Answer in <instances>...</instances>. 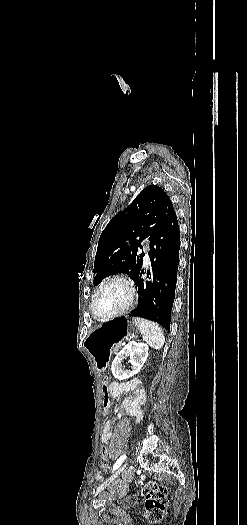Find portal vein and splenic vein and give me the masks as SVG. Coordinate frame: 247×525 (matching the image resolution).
Segmentation results:
<instances>
[{
    "label": "portal vein and splenic vein",
    "instance_id": "obj_1",
    "mask_svg": "<svg viewBox=\"0 0 247 525\" xmlns=\"http://www.w3.org/2000/svg\"><path fill=\"white\" fill-rule=\"evenodd\" d=\"M121 346H126V343H121Z\"/></svg>",
    "mask_w": 247,
    "mask_h": 525
}]
</instances>
